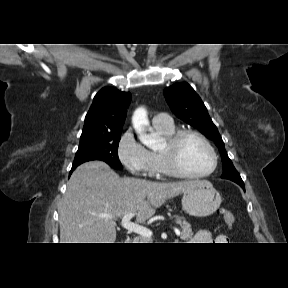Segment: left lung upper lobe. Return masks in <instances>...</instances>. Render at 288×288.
Instances as JSON below:
<instances>
[{
  "label": "left lung upper lobe",
  "instance_id": "left-lung-upper-lobe-1",
  "mask_svg": "<svg viewBox=\"0 0 288 288\" xmlns=\"http://www.w3.org/2000/svg\"><path fill=\"white\" fill-rule=\"evenodd\" d=\"M164 96L172 112L178 118L195 127L215 142L223 163L221 178L244 185L239 173L227 155L224 142L217 127L212 122L204 103L194 89L186 82L176 83L164 89Z\"/></svg>",
  "mask_w": 288,
  "mask_h": 288
}]
</instances>
